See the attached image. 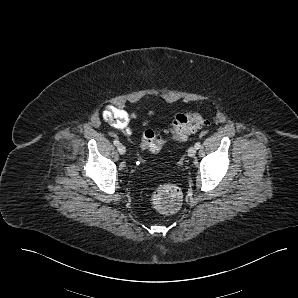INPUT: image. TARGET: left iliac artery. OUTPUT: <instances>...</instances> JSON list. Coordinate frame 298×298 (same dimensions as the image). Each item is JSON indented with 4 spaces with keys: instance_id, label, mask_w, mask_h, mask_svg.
Wrapping results in <instances>:
<instances>
[{
    "instance_id": "left-iliac-artery-1",
    "label": "left iliac artery",
    "mask_w": 298,
    "mask_h": 298,
    "mask_svg": "<svg viewBox=\"0 0 298 298\" xmlns=\"http://www.w3.org/2000/svg\"><path fill=\"white\" fill-rule=\"evenodd\" d=\"M200 147H201L200 142L195 143V148H196V149H199Z\"/></svg>"
}]
</instances>
